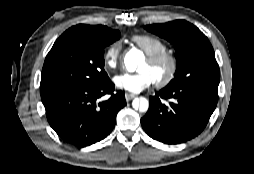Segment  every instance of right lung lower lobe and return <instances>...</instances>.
I'll list each match as a JSON object with an SVG mask.
<instances>
[{
	"label": "right lung lower lobe",
	"instance_id": "98d812e1",
	"mask_svg": "<svg viewBox=\"0 0 254 174\" xmlns=\"http://www.w3.org/2000/svg\"><path fill=\"white\" fill-rule=\"evenodd\" d=\"M108 78L94 87L68 88L41 96L50 126L64 141L88 146L113 130L118 111L126 105L123 91L114 92ZM111 94L106 101L98 99Z\"/></svg>",
	"mask_w": 254,
	"mask_h": 174
}]
</instances>
